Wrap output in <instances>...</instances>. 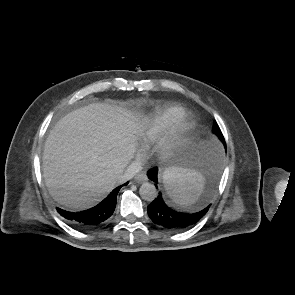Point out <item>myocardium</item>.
<instances>
[{"mask_svg":"<svg viewBox=\"0 0 295 295\" xmlns=\"http://www.w3.org/2000/svg\"><path fill=\"white\" fill-rule=\"evenodd\" d=\"M190 120L186 116L180 117L159 139L154 153L163 158L171 156L184 142L190 129Z\"/></svg>","mask_w":295,"mask_h":295,"instance_id":"f54148a6","label":"myocardium"}]
</instances>
